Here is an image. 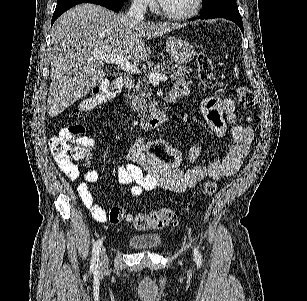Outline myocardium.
I'll list each match as a JSON object with an SVG mask.
<instances>
[{
  "label": "myocardium",
  "mask_w": 307,
  "mask_h": 301,
  "mask_svg": "<svg viewBox=\"0 0 307 301\" xmlns=\"http://www.w3.org/2000/svg\"><path fill=\"white\" fill-rule=\"evenodd\" d=\"M200 0H193V3L188 11H171L167 4H160L159 0L156 4L154 12H163L164 18H170L172 22H183L184 18L194 17Z\"/></svg>",
  "instance_id": "obj_1"
}]
</instances>
